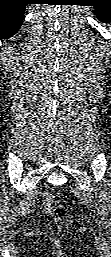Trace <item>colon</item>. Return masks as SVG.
<instances>
[{"instance_id": "obj_1", "label": "colon", "mask_w": 111, "mask_h": 257, "mask_svg": "<svg viewBox=\"0 0 111 257\" xmlns=\"http://www.w3.org/2000/svg\"><path fill=\"white\" fill-rule=\"evenodd\" d=\"M43 205L45 206L46 209L49 211L53 212L56 214L60 219L64 221V224H68L70 221V213L69 211L63 207L60 206L53 195L51 194H46L44 199H43Z\"/></svg>"}]
</instances>
